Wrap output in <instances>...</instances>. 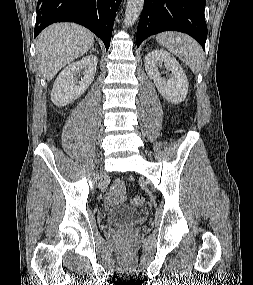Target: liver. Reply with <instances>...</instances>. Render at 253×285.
Wrapping results in <instances>:
<instances>
[{
	"mask_svg": "<svg viewBox=\"0 0 253 285\" xmlns=\"http://www.w3.org/2000/svg\"><path fill=\"white\" fill-rule=\"evenodd\" d=\"M93 44V33L81 25H50L36 40L37 61L42 75L51 81L61 68L85 54Z\"/></svg>",
	"mask_w": 253,
	"mask_h": 285,
	"instance_id": "liver-1",
	"label": "liver"
}]
</instances>
